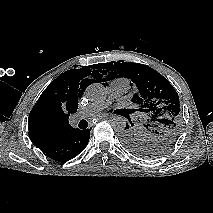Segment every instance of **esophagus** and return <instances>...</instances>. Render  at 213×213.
I'll return each instance as SVG.
<instances>
[{
	"instance_id": "esophagus-1",
	"label": "esophagus",
	"mask_w": 213,
	"mask_h": 213,
	"mask_svg": "<svg viewBox=\"0 0 213 213\" xmlns=\"http://www.w3.org/2000/svg\"><path fill=\"white\" fill-rule=\"evenodd\" d=\"M108 117H109L108 115H101V116L97 117V120L105 119V118H108Z\"/></svg>"
}]
</instances>
